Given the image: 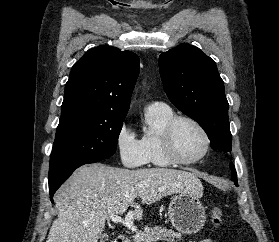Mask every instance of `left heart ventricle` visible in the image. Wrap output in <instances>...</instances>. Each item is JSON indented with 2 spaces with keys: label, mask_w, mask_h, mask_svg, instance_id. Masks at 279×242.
Listing matches in <instances>:
<instances>
[{
  "label": "left heart ventricle",
  "mask_w": 279,
  "mask_h": 242,
  "mask_svg": "<svg viewBox=\"0 0 279 242\" xmlns=\"http://www.w3.org/2000/svg\"><path fill=\"white\" fill-rule=\"evenodd\" d=\"M173 137L176 151L184 159H193L199 156L204 149L202 134L189 122H178Z\"/></svg>",
  "instance_id": "b2bd125f"
}]
</instances>
